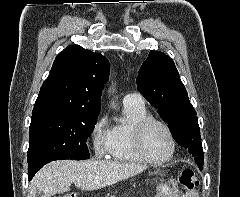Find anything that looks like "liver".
<instances>
[{
  "label": "liver",
  "instance_id": "6515ba94",
  "mask_svg": "<svg viewBox=\"0 0 240 197\" xmlns=\"http://www.w3.org/2000/svg\"><path fill=\"white\" fill-rule=\"evenodd\" d=\"M146 166L106 160L51 162L39 170L29 185V196L37 191L46 196L70 190L72 183L82 190L92 191L115 184L146 170Z\"/></svg>",
  "mask_w": 240,
  "mask_h": 197
}]
</instances>
